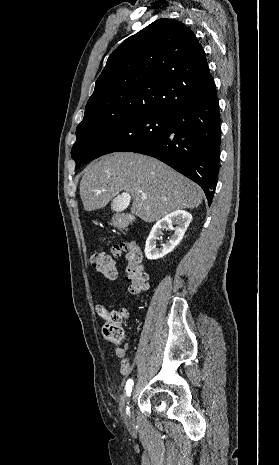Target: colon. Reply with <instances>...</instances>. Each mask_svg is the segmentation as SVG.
I'll return each mask as SVG.
<instances>
[{"mask_svg": "<svg viewBox=\"0 0 279 465\" xmlns=\"http://www.w3.org/2000/svg\"><path fill=\"white\" fill-rule=\"evenodd\" d=\"M126 253L128 259L127 279L129 290L134 295H139L148 288L149 277L144 266V256L141 249L133 242L122 241L115 243L111 248V254L94 250L90 261L94 268L108 279L117 277L115 257ZM100 314L105 320L103 332L106 338L114 344H120L125 339L123 321L126 318L125 311H107L100 308Z\"/></svg>", "mask_w": 279, "mask_h": 465, "instance_id": "1", "label": "colon"}]
</instances>
